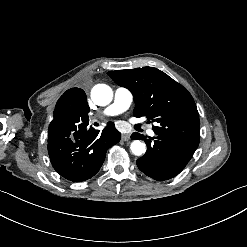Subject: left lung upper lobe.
<instances>
[{
	"mask_svg": "<svg viewBox=\"0 0 247 247\" xmlns=\"http://www.w3.org/2000/svg\"><path fill=\"white\" fill-rule=\"evenodd\" d=\"M119 86L128 88L136 107L135 117L156 122V135L169 136L198 147L200 120L188 90L157 68L143 67L107 73Z\"/></svg>",
	"mask_w": 247,
	"mask_h": 247,
	"instance_id": "5c2ea615",
	"label": "left lung upper lobe"
}]
</instances>
